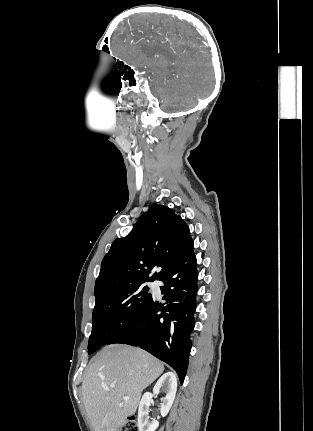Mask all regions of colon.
I'll return each instance as SVG.
<instances>
[{
  "label": "colon",
  "instance_id": "obj_1",
  "mask_svg": "<svg viewBox=\"0 0 313 431\" xmlns=\"http://www.w3.org/2000/svg\"><path fill=\"white\" fill-rule=\"evenodd\" d=\"M120 431H139L135 418H128L122 425Z\"/></svg>",
  "mask_w": 313,
  "mask_h": 431
}]
</instances>
